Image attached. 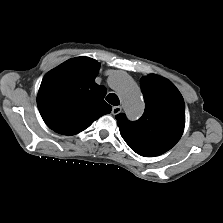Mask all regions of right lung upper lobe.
I'll list each match as a JSON object with an SVG mask.
<instances>
[{
    "mask_svg": "<svg viewBox=\"0 0 223 223\" xmlns=\"http://www.w3.org/2000/svg\"><path fill=\"white\" fill-rule=\"evenodd\" d=\"M100 63L88 57L70 59L48 72L40 85L37 105L46 125L57 133L74 135L111 112L106 88L95 78Z\"/></svg>",
    "mask_w": 223,
    "mask_h": 223,
    "instance_id": "obj_1",
    "label": "right lung upper lobe"
}]
</instances>
